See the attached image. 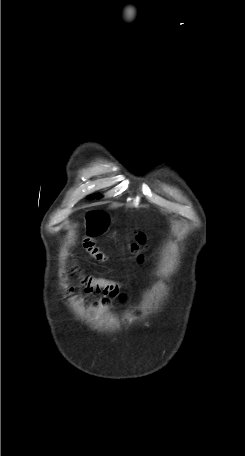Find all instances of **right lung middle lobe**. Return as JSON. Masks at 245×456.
I'll return each mask as SVG.
<instances>
[{
    "label": "right lung middle lobe",
    "mask_w": 245,
    "mask_h": 456,
    "mask_svg": "<svg viewBox=\"0 0 245 456\" xmlns=\"http://www.w3.org/2000/svg\"><path fill=\"white\" fill-rule=\"evenodd\" d=\"M95 197H96L97 199L99 198L98 196H90L89 199H94Z\"/></svg>",
    "instance_id": "right-lung-middle-lobe-1"
}]
</instances>
